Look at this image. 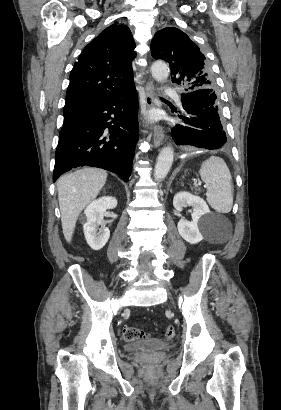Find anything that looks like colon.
Returning <instances> with one entry per match:
<instances>
[{"label":"colon","instance_id":"1","mask_svg":"<svg viewBox=\"0 0 281 410\" xmlns=\"http://www.w3.org/2000/svg\"><path fill=\"white\" fill-rule=\"evenodd\" d=\"M175 334V329L172 325H169L166 327L165 331H164V337L166 339H172L173 336ZM147 334L137 328V327H133V326H125L123 329V338L127 341V342H133V341H137L141 338L146 337Z\"/></svg>","mask_w":281,"mask_h":410}]
</instances>
